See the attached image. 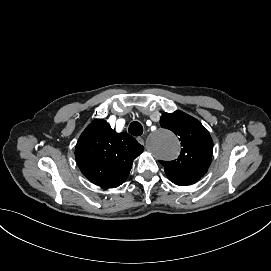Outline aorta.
<instances>
[{
    "label": "aorta",
    "mask_w": 271,
    "mask_h": 271,
    "mask_svg": "<svg viewBox=\"0 0 271 271\" xmlns=\"http://www.w3.org/2000/svg\"><path fill=\"white\" fill-rule=\"evenodd\" d=\"M148 142L152 153L164 160L174 159L180 152V143L177 137L165 129L153 133Z\"/></svg>",
    "instance_id": "obj_1"
}]
</instances>
